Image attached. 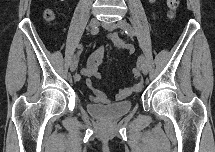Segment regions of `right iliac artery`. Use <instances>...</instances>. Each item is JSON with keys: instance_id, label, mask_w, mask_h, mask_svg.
Returning a JSON list of instances; mask_svg holds the SVG:
<instances>
[{"instance_id": "82829eb1", "label": "right iliac artery", "mask_w": 215, "mask_h": 152, "mask_svg": "<svg viewBox=\"0 0 215 152\" xmlns=\"http://www.w3.org/2000/svg\"><path fill=\"white\" fill-rule=\"evenodd\" d=\"M98 32H99V28L98 27H95V28L91 29V34L92 35H96ZM81 48H82V46L79 45L78 49H81Z\"/></svg>"}]
</instances>
